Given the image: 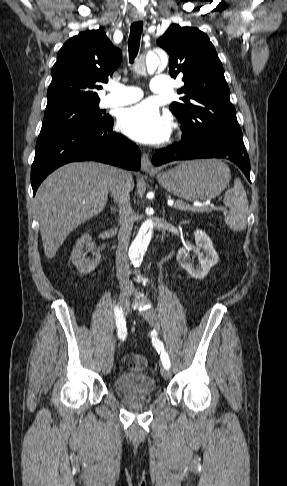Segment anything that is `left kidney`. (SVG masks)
Returning <instances> with one entry per match:
<instances>
[{
  "label": "left kidney",
  "instance_id": "obj_1",
  "mask_svg": "<svg viewBox=\"0 0 287 486\" xmlns=\"http://www.w3.org/2000/svg\"><path fill=\"white\" fill-rule=\"evenodd\" d=\"M195 242H196V251L199 252L201 255V259L199 260V265L194 266L191 263V259L189 257V249L181 248L177 254V261L179 265L185 269L192 277L196 279H203L210 269L217 264L218 262V254L213 247V243L210 237L200 229H197L194 232ZM203 252L200 253V250Z\"/></svg>",
  "mask_w": 287,
  "mask_h": 486
}]
</instances>
